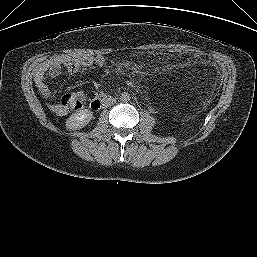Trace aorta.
Instances as JSON below:
<instances>
[{
	"label": "aorta",
	"instance_id": "1",
	"mask_svg": "<svg viewBox=\"0 0 257 257\" xmlns=\"http://www.w3.org/2000/svg\"><path fill=\"white\" fill-rule=\"evenodd\" d=\"M120 99H121L123 102H128V101L131 99V96H130L129 93L124 92V93L121 94Z\"/></svg>",
	"mask_w": 257,
	"mask_h": 257
}]
</instances>
